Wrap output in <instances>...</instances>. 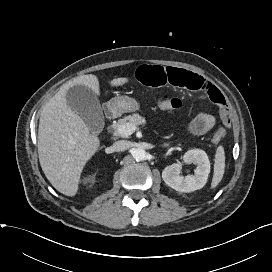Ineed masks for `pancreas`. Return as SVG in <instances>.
Returning <instances> with one entry per match:
<instances>
[{
    "label": "pancreas",
    "instance_id": "pancreas-1",
    "mask_svg": "<svg viewBox=\"0 0 272 272\" xmlns=\"http://www.w3.org/2000/svg\"><path fill=\"white\" fill-rule=\"evenodd\" d=\"M127 123H131L135 126L138 125H145L146 124V120L144 119V117L140 116L139 114H133V115H129V116H125L123 119H119L115 124H113V128L115 129V132L117 135H120L117 133V129L119 126L127 124ZM122 137H127V136H123L120 135Z\"/></svg>",
    "mask_w": 272,
    "mask_h": 272
}]
</instances>
